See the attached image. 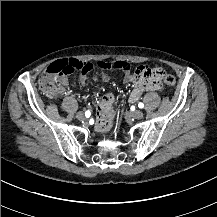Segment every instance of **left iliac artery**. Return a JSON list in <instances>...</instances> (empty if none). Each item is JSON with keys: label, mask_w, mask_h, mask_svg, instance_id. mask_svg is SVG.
<instances>
[{"label": "left iliac artery", "mask_w": 217, "mask_h": 217, "mask_svg": "<svg viewBox=\"0 0 217 217\" xmlns=\"http://www.w3.org/2000/svg\"><path fill=\"white\" fill-rule=\"evenodd\" d=\"M138 107H139V108H143V107H144V104L140 102V103L138 104Z\"/></svg>", "instance_id": "1"}]
</instances>
